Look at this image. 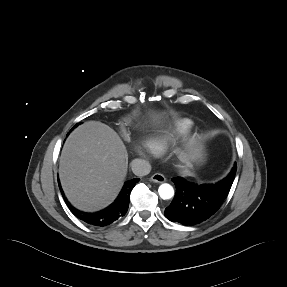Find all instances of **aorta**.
<instances>
[{
  "label": "aorta",
  "instance_id": "aorta-1",
  "mask_svg": "<svg viewBox=\"0 0 287 287\" xmlns=\"http://www.w3.org/2000/svg\"><path fill=\"white\" fill-rule=\"evenodd\" d=\"M158 193L163 200H168L174 196V189L170 184L164 183L159 186Z\"/></svg>",
  "mask_w": 287,
  "mask_h": 287
}]
</instances>
